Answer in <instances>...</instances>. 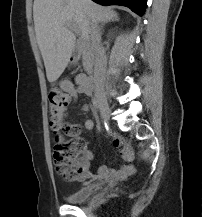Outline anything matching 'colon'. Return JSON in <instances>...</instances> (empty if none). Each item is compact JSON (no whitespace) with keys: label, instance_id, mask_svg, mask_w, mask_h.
Wrapping results in <instances>:
<instances>
[{"label":"colon","instance_id":"1","mask_svg":"<svg viewBox=\"0 0 202 217\" xmlns=\"http://www.w3.org/2000/svg\"><path fill=\"white\" fill-rule=\"evenodd\" d=\"M70 99L60 90H51L48 94L50 125L55 131L53 153L56 170L65 180L74 181L83 175L85 142L64 121Z\"/></svg>","mask_w":202,"mask_h":217}]
</instances>
